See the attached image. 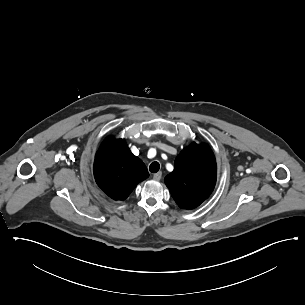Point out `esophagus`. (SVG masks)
<instances>
[{
	"mask_svg": "<svg viewBox=\"0 0 305 305\" xmlns=\"http://www.w3.org/2000/svg\"><path fill=\"white\" fill-rule=\"evenodd\" d=\"M161 177H162V172H158L153 175V179L156 181L160 180Z\"/></svg>",
	"mask_w": 305,
	"mask_h": 305,
	"instance_id": "34e87169",
	"label": "esophagus"
}]
</instances>
